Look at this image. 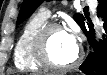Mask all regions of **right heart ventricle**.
<instances>
[{
    "instance_id": "right-heart-ventricle-1",
    "label": "right heart ventricle",
    "mask_w": 107,
    "mask_h": 75,
    "mask_svg": "<svg viewBox=\"0 0 107 75\" xmlns=\"http://www.w3.org/2000/svg\"><path fill=\"white\" fill-rule=\"evenodd\" d=\"M44 24H46V19L38 13L32 16L24 25L14 49V64L20 71L37 72L44 70V67L37 62L31 50L32 39Z\"/></svg>"
}]
</instances>
